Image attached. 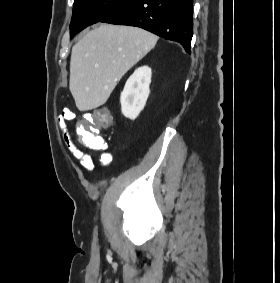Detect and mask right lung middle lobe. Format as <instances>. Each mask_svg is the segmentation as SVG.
Instances as JSON below:
<instances>
[{"label":"right lung middle lobe","instance_id":"1","mask_svg":"<svg viewBox=\"0 0 280 283\" xmlns=\"http://www.w3.org/2000/svg\"><path fill=\"white\" fill-rule=\"evenodd\" d=\"M132 0H75L70 23L73 37L89 25L101 22L106 17L127 5Z\"/></svg>","mask_w":280,"mask_h":283}]
</instances>
